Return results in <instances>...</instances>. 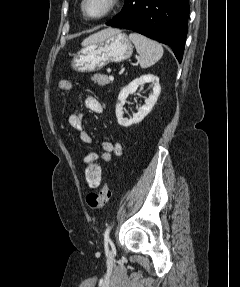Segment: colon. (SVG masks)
Masks as SVG:
<instances>
[{"instance_id": "1", "label": "colon", "mask_w": 240, "mask_h": 287, "mask_svg": "<svg viewBox=\"0 0 240 287\" xmlns=\"http://www.w3.org/2000/svg\"><path fill=\"white\" fill-rule=\"evenodd\" d=\"M70 82L64 79L60 82L63 91L70 89ZM85 181L88 186L98 188L97 192L90 193L86 197V202L93 211L101 210L111 197V189L102 180V168L98 163V156L93 151H86L83 158Z\"/></svg>"}]
</instances>
